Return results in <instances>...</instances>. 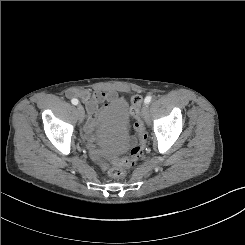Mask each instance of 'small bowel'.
Wrapping results in <instances>:
<instances>
[{
  "instance_id": "1",
  "label": "small bowel",
  "mask_w": 245,
  "mask_h": 245,
  "mask_svg": "<svg viewBox=\"0 0 245 245\" xmlns=\"http://www.w3.org/2000/svg\"><path fill=\"white\" fill-rule=\"evenodd\" d=\"M80 96L86 105L90 127L93 125L94 115L98 112V104H103L101 111L107 112L112 103L124 102V98L115 91H85L82 92Z\"/></svg>"
}]
</instances>
